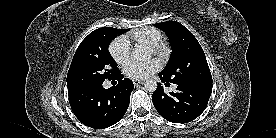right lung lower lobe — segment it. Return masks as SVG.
Here are the masks:
<instances>
[{
    "mask_svg": "<svg viewBox=\"0 0 276 138\" xmlns=\"http://www.w3.org/2000/svg\"><path fill=\"white\" fill-rule=\"evenodd\" d=\"M111 80L118 84L105 89L102 83L68 91L69 102L75 116L84 125L103 129L116 124L125 115L130 103L133 82L121 72Z\"/></svg>",
    "mask_w": 276,
    "mask_h": 138,
    "instance_id": "obj_1",
    "label": "right lung lower lobe"
}]
</instances>
